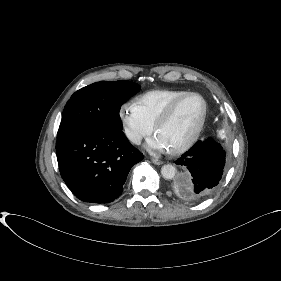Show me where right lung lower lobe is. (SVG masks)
Returning <instances> with one entry per match:
<instances>
[{
    "label": "right lung lower lobe",
    "mask_w": 281,
    "mask_h": 281,
    "mask_svg": "<svg viewBox=\"0 0 281 281\" xmlns=\"http://www.w3.org/2000/svg\"><path fill=\"white\" fill-rule=\"evenodd\" d=\"M56 151L62 179L89 203L119 197L131 167L143 159L122 130L73 133L57 139Z\"/></svg>",
    "instance_id": "98d812e1"
}]
</instances>
